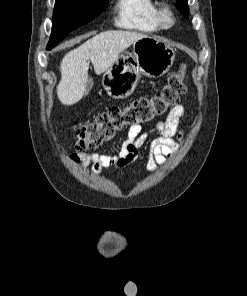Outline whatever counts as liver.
I'll list each match as a JSON object with an SVG mask.
<instances>
[{"label": "liver", "mask_w": 247, "mask_h": 296, "mask_svg": "<svg viewBox=\"0 0 247 296\" xmlns=\"http://www.w3.org/2000/svg\"><path fill=\"white\" fill-rule=\"evenodd\" d=\"M148 37L133 31L111 30L95 35L77 49L69 51L61 61V80L57 96L65 106L77 103L86 91L89 60L97 75L105 72L134 42Z\"/></svg>", "instance_id": "1"}]
</instances>
